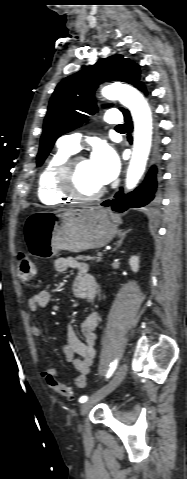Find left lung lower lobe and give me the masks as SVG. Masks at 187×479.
Returning a JSON list of instances; mask_svg holds the SVG:
<instances>
[{
  "label": "left lung lower lobe",
  "instance_id": "1",
  "mask_svg": "<svg viewBox=\"0 0 187 479\" xmlns=\"http://www.w3.org/2000/svg\"><path fill=\"white\" fill-rule=\"evenodd\" d=\"M137 87L141 91L146 92L142 82H140ZM122 113L127 125V130L130 133L133 128L130 113L125 109L122 111ZM128 139L131 142V138L129 137ZM158 167L159 159L156 158L155 164L151 167L144 180V183L140 187L128 194H123V189L121 188L120 191L115 195V199L112 201L107 200L101 205L111 206L113 211L123 212L129 208L144 207L148 204L156 203L159 198L158 186L160 183V171Z\"/></svg>",
  "mask_w": 187,
  "mask_h": 479
}]
</instances>
